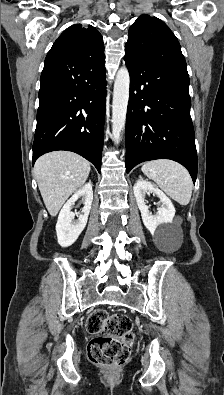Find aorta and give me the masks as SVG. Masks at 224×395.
I'll list each match as a JSON object with an SVG mask.
<instances>
[{
  "label": "aorta",
  "mask_w": 224,
  "mask_h": 395,
  "mask_svg": "<svg viewBox=\"0 0 224 395\" xmlns=\"http://www.w3.org/2000/svg\"><path fill=\"white\" fill-rule=\"evenodd\" d=\"M129 88V72L126 67H122L118 70L115 78L112 102V137L116 145L119 144L121 132L125 128Z\"/></svg>",
  "instance_id": "762f6f07"
}]
</instances>
